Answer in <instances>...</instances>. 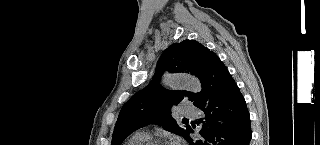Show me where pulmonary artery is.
Instances as JSON below:
<instances>
[{
    "mask_svg": "<svg viewBox=\"0 0 320 145\" xmlns=\"http://www.w3.org/2000/svg\"><path fill=\"white\" fill-rule=\"evenodd\" d=\"M181 113L184 116H188V117H195L197 116L198 110L195 107H190V106H182L181 107ZM140 133H144V132H140ZM145 134V133H144ZM147 135V134H146Z\"/></svg>",
    "mask_w": 320,
    "mask_h": 145,
    "instance_id": "1",
    "label": "pulmonary artery"
}]
</instances>
